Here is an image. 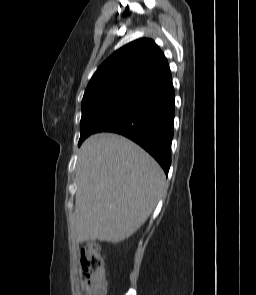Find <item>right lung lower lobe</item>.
Instances as JSON below:
<instances>
[{"label": "right lung lower lobe", "instance_id": "obj_1", "mask_svg": "<svg viewBox=\"0 0 256 295\" xmlns=\"http://www.w3.org/2000/svg\"><path fill=\"white\" fill-rule=\"evenodd\" d=\"M174 99L169 70L139 92L97 132L109 131L130 138L149 152L167 174L171 164Z\"/></svg>", "mask_w": 256, "mask_h": 295}]
</instances>
